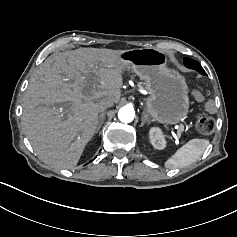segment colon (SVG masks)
Returning a JSON list of instances; mask_svg holds the SVG:
<instances>
[{
  "label": "colon",
  "instance_id": "1",
  "mask_svg": "<svg viewBox=\"0 0 237 237\" xmlns=\"http://www.w3.org/2000/svg\"><path fill=\"white\" fill-rule=\"evenodd\" d=\"M195 95L198 99L202 98L198 92H196ZM215 107H216V105L213 101H208L206 103L207 110L212 111L215 109ZM195 126H196V129L199 133L207 135V134H211L214 131L216 122H215L214 118L211 116L200 115L196 120Z\"/></svg>",
  "mask_w": 237,
  "mask_h": 237
}]
</instances>
